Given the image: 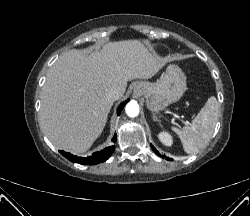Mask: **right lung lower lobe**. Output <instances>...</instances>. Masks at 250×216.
<instances>
[{
  "instance_id": "98d812e1",
  "label": "right lung lower lobe",
  "mask_w": 250,
  "mask_h": 216,
  "mask_svg": "<svg viewBox=\"0 0 250 216\" xmlns=\"http://www.w3.org/2000/svg\"><path fill=\"white\" fill-rule=\"evenodd\" d=\"M128 102L125 101L123 103H121L117 109V115L119 116L121 114V111L123 109V107L125 106V104ZM114 142H116V135L113 137L112 139ZM115 149V146H109L99 152H95L92 154V156H89L87 158H83V157H77L74 156L68 152H64V151H60V153L66 157L68 160L75 162V163H80V164H88V165H92V164H97V163H101L106 161L111 154L113 153Z\"/></svg>"
}]
</instances>
